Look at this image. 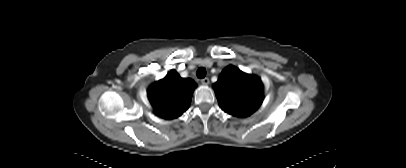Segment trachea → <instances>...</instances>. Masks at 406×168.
<instances>
[{
    "mask_svg": "<svg viewBox=\"0 0 406 168\" xmlns=\"http://www.w3.org/2000/svg\"><path fill=\"white\" fill-rule=\"evenodd\" d=\"M196 75L200 79L204 78L206 76V69L204 67L198 68Z\"/></svg>",
    "mask_w": 406,
    "mask_h": 168,
    "instance_id": "3493384b",
    "label": "trachea"
}]
</instances>
